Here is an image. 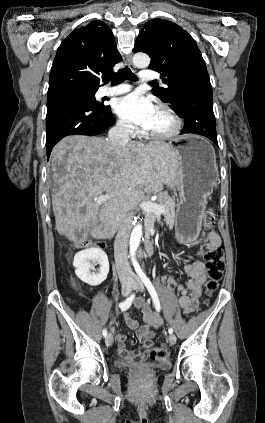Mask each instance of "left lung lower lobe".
<instances>
[{
    "mask_svg": "<svg viewBox=\"0 0 265 423\" xmlns=\"http://www.w3.org/2000/svg\"><path fill=\"white\" fill-rule=\"evenodd\" d=\"M175 96L173 111L185 120L181 134H199L218 146L208 72L199 71L183 79L175 89Z\"/></svg>",
    "mask_w": 265,
    "mask_h": 423,
    "instance_id": "1",
    "label": "left lung lower lobe"
}]
</instances>
